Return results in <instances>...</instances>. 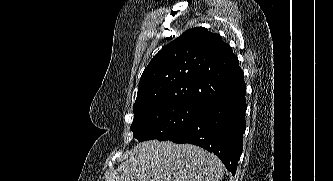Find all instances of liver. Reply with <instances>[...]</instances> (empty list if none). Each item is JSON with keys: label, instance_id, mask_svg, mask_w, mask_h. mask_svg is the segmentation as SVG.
<instances>
[{"label": "liver", "instance_id": "6515ba94", "mask_svg": "<svg viewBox=\"0 0 333 181\" xmlns=\"http://www.w3.org/2000/svg\"><path fill=\"white\" fill-rule=\"evenodd\" d=\"M105 181H221L224 165L192 144L157 140L138 143Z\"/></svg>", "mask_w": 333, "mask_h": 181}]
</instances>
